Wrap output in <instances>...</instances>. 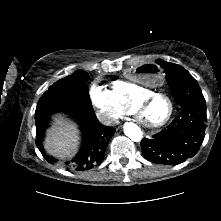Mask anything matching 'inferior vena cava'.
I'll return each mask as SVG.
<instances>
[{"label": "inferior vena cava", "mask_w": 221, "mask_h": 221, "mask_svg": "<svg viewBox=\"0 0 221 221\" xmlns=\"http://www.w3.org/2000/svg\"><path fill=\"white\" fill-rule=\"evenodd\" d=\"M99 121L104 125H112L117 123V119L113 117V114L110 112L100 113L98 115Z\"/></svg>", "instance_id": "602c4592"}]
</instances>
